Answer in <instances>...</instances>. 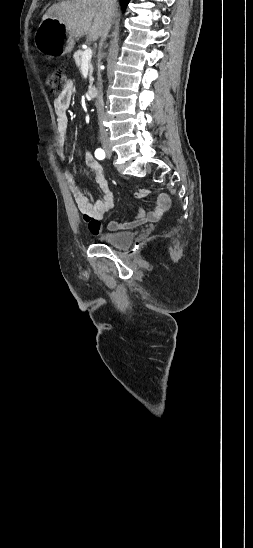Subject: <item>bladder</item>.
Wrapping results in <instances>:
<instances>
[{
    "instance_id": "obj_1",
    "label": "bladder",
    "mask_w": 253,
    "mask_h": 548,
    "mask_svg": "<svg viewBox=\"0 0 253 548\" xmlns=\"http://www.w3.org/2000/svg\"><path fill=\"white\" fill-rule=\"evenodd\" d=\"M135 238V233L129 231L109 232L98 237L100 243L116 247L126 248L130 246Z\"/></svg>"
}]
</instances>
